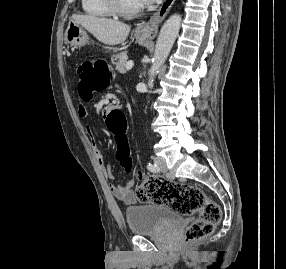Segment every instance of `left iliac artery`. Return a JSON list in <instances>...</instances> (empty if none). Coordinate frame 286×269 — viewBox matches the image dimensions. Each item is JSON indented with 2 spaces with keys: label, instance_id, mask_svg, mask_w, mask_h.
Returning a JSON list of instances; mask_svg holds the SVG:
<instances>
[{
  "label": "left iliac artery",
  "instance_id": "1",
  "mask_svg": "<svg viewBox=\"0 0 286 269\" xmlns=\"http://www.w3.org/2000/svg\"><path fill=\"white\" fill-rule=\"evenodd\" d=\"M147 168L151 172H158L160 169L156 164L148 163Z\"/></svg>",
  "mask_w": 286,
  "mask_h": 269
}]
</instances>
